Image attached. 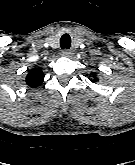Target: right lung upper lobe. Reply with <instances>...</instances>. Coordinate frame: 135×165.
Here are the masks:
<instances>
[{"label":"right lung upper lobe","instance_id":"1","mask_svg":"<svg viewBox=\"0 0 135 165\" xmlns=\"http://www.w3.org/2000/svg\"><path fill=\"white\" fill-rule=\"evenodd\" d=\"M44 80V74L41 69L36 68L28 72L26 76V84L30 87H38Z\"/></svg>","mask_w":135,"mask_h":165}]
</instances>
